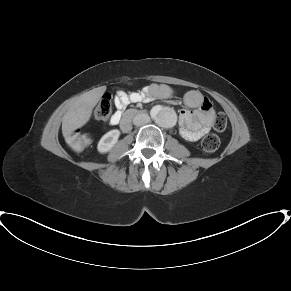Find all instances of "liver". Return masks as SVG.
I'll return each instance as SVG.
<instances>
[{
  "label": "liver",
  "mask_w": 291,
  "mask_h": 291,
  "mask_svg": "<svg viewBox=\"0 0 291 291\" xmlns=\"http://www.w3.org/2000/svg\"><path fill=\"white\" fill-rule=\"evenodd\" d=\"M106 90L105 86L95 88L78 97L62 118V133L69 137L84 126L91 118L94 107Z\"/></svg>",
  "instance_id": "1"
}]
</instances>
